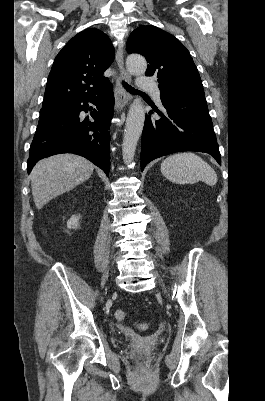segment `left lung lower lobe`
Segmentation results:
<instances>
[{
  "label": "left lung lower lobe",
  "mask_w": 265,
  "mask_h": 401,
  "mask_svg": "<svg viewBox=\"0 0 265 401\" xmlns=\"http://www.w3.org/2000/svg\"><path fill=\"white\" fill-rule=\"evenodd\" d=\"M165 114L161 119L146 116L142 132L141 169L161 156L198 151L212 155L219 164L221 156L205 97L163 96ZM153 111L151 110L150 113Z\"/></svg>",
  "instance_id": "obj_1"
}]
</instances>
